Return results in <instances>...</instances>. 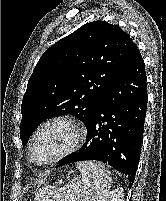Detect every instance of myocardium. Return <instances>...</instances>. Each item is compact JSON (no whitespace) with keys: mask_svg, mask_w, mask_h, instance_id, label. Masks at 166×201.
I'll return each instance as SVG.
<instances>
[{"mask_svg":"<svg viewBox=\"0 0 166 201\" xmlns=\"http://www.w3.org/2000/svg\"><path fill=\"white\" fill-rule=\"evenodd\" d=\"M52 124H64L69 126L72 131H73V140L70 144V146L63 152L54 155L52 157H50L47 160L41 161V162H37L34 160L33 158V148L36 142V139L38 137V135L48 126L52 125ZM83 129L80 126V124L78 122H76L73 119L67 118V117H54V118H50L46 121H44L43 123H41L36 130L33 132L30 142H29V146H28V157L29 160L32 164L37 165V166H47V165H51L53 163H56L66 157H68L69 155L73 154L81 145L82 141H83Z\"/></svg>","mask_w":166,"mask_h":201,"instance_id":"obj_1","label":"myocardium"}]
</instances>
